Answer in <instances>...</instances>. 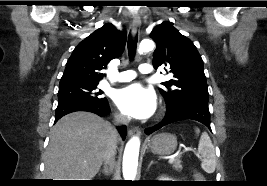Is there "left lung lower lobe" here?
Returning a JSON list of instances; mask_svg holds the SVG:
<instances>
[{"instance_id":"0a47b994","label":"left lung lower lobe","mask_w":267,"mask_h":186,"mask_svg":"<svg viewBox=\"0 0 267 186\" xmlns=\"http://www.w3.org/2000/svg\"><path fill=\"white\" fill-rule=\"evenodd\" d=\"M186 119L196 120L204 124L211 130L210 113L208 107L201 105H185L175 109L168 110L163 121L151 128L146 129L145 133L147 135H150L154 131L160 129L161 127L167 124Z\"/></svg>"}]
</instances>
